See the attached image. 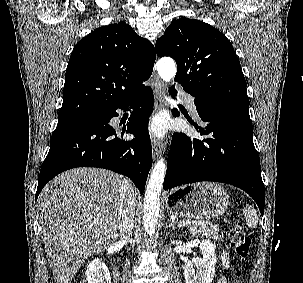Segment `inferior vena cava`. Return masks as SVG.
Returning <instances> with one entry per match:
<instances>
[{"mask_svg": "<svg viewBox=\"0 0 303 283\" xmlns=\"http://www.w3.org/2000/svg\"><path fill=\"white\" fill-rule=\"evenodd\" d=\"M120 195L123 203L122 220L119 225L120 236L126 238L130 236L133 230V214L135 211V198L133 195V187L131 181L127 178H123L120 188Z\"/></svg>", "mask_w": 303, "mask_h": 283, "instance_id": "obj_1", "label": "inferior vena cava"}]
</instances>
